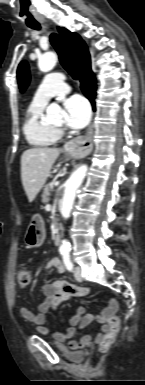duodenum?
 I'll return each mask as SVG.
<instances>
[{
  "instance_id": "410a0bca",
  "label": "duodenum",
  "mask_w": 145,
  "mask_h": 385,
  "mask_svg": "<svg viewBox=\"0 0 145 385\" xmlns=\"http://www.w3.org/2000/svg\"><path fill=\"white\" fill-rule=\"evenodd\" d=\"M60 242H61V236H60L59 233H56V234L54 235V243H55L56 245H59Z\"/></svg>"
}]
</instances>
